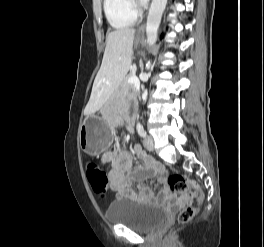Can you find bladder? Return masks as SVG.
I'll list each match as a JSON object with an SVG mask.
<instances>
[{"label": "bladder", "mask_w": 264, "mask_h": 247, "mask_svg": "<svg viewBox=\"0 0 264 247\" xmlns=\"http://www.w3.org/2000/svg\"><path fill=\"white\" fill-rule=\"evenodd\" d=\"M106 219L135 231L152 232L167 221V212L150 203L123 198L110 203Z\"/></svg>", "instance_id": "1"}]
</instances>
